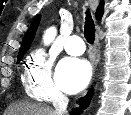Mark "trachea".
I'll list each match as a JSON object with an SVG mask.
<instances>
[{"mask_svg":"<svg viewBox=\"0 0 131 115\" xmlns=\"http://www.w3.org/2000/svg\"><path fill=\"white\" fill-rule=\"evenodd\" d=\"M84 36L88 43L93 44L95 40V24L91 17L90 10L86 11V21L84 26Z\"/></svg>","mask_w":131,"mask_h":115,"instance_id":"3493384b","label":"trachea"}]
</instances>
